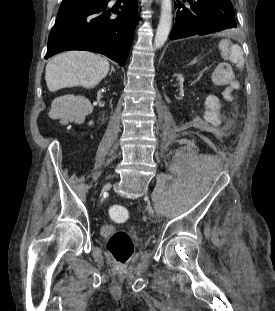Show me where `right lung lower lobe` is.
<instances>
[{"mask_svg":"<svg viewBox=\"0 0 275 311\" xmlns=\"http://www.w3.org/2000/svg\"><path fill=\"white\" fill-rule=\"evenodd\" d=\"M110 0L71 7L58 13L48 38L45 59L67 50L106 55L124 66L137 22L138 0H123L121 11L106 10Z\"/></svg>","mask_w":275,"mask_h":311,"instance_id":"1","label":"right lung lower lobe"}]
</instances>
